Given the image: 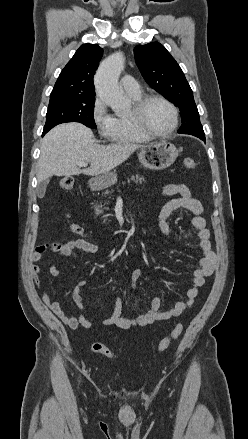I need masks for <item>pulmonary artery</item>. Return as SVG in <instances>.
I'll return each instance as SVG.
<instances>
[{
	"label": "pulmonary artery",
	"instance_id": "pulmonary-artery-1",
	"mask_svg": "<svg viewBox=\"0 0 248 439\" xmlns=\"http://www.w3.org/2000/svg\"><path fill=\"white\" fill-rule=\"evenodd\" d=\"M121 86L128 94H139L140 86L136 79L131 75H124L121 78Z\"/></svg>",
	"mask_w": 248,
	"mask_h": 439
}]
</instances>
